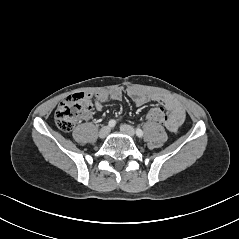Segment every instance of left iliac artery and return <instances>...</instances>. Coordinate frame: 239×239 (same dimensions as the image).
Listing matches in <instances>:
<instances>
[{"instance_id":"44dca946","label":"left iliac artery","mask_w":239,"mask_h":239,"mask_svg":"<svg viewBox=\"0 0 239 239\" xmlns=\"http://www.w3.org/2000/svg\"><path fill=\"white\" fill-rule=\"evenodd\" d=\"M136 135H137L138 137H142V136H143V131H142L140 128H137V129H136Z\"/></svg>"}]
</instances>
